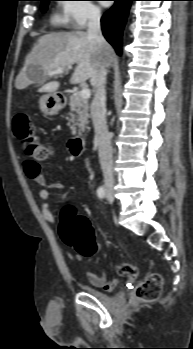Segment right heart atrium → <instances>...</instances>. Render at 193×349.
I'll return each instance as SVG.
<instances>
[{
	"label": "right heart atrium",
	"mask_w": 193,
	"mask_h": 349,
	"mask_svg": "<svg viewBox=\"0 0 193 349\" xmlns=\"http://www.w3.org/2000/svg\"><path fill=\"white\" fill-rule=\"evenodd\" d=\"M61 9L65 22L75 29H83L101 17L99 6L91 0H64Z\"/></svg>",
	"instance_id": "right-heart-atrium-1"
}]
</instances>
